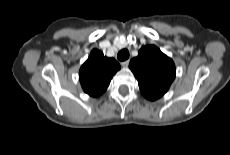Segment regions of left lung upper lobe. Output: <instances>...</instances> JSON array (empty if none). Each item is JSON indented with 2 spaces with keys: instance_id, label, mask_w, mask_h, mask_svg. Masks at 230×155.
<instances>
[{
  "instance_id": "left-lung-upper-lobe-1",
  "label": "left lung upper lobe",
  "mask_w": 230,
  "mask_h": 155,
  "mask_svg": "<svg viewBox=\"0 0 230 155\" xmlns=\"http://www.w3.org/2000/svg\"><path fill=\"white\" fill-rule=\"evenodd\" d=\"M129 68L138 80L142 95L155 101L161 98L175 79V65L171 58L154 45L143 46Z\"/></svg>"
}]
</instances>
